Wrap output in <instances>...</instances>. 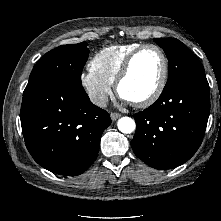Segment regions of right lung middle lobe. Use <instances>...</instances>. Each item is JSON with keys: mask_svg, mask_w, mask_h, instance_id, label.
Wrapping results in <instances>:
<instances>
[{"mask_svg": "<svg viewBox=\"0 0 221 221\" xmlns=\"http://www.w3.org/2000/svg\"><path fill=\"white\" fill-rule=\"evenodd\" d=\"M87 45L85 42L62 45L49 51L33 68L29 82L82 86L81 73L89 55Z\"/></svg>", "mask_w": 221, "mask_h": 221, "instance_id": "1", "label": "right lung middle lobe"}]
</instances>
